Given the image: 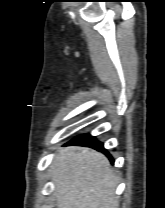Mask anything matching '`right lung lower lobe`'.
I'll use <instances>...</instances> for the list:
<instances>
[{"mask_svg":"<svg viewBox=\"0 0 165 208\" xmlns=\"http://www.w3.org/2000/svg\"><path fill=\"white\" fill-rule=\"evenodd\" d=\"M67 145H80V146H86V147H91L94 148L98 151H101L105 153L111 162L113 163L114 160L111 157V155L107 152V150L103 147V144L95 139V137L85 134L81 136H77L74 139H72Z\"/></svg>","mask_w":165,"mask_h":208,"instance_id":"1","label":"right lung lower lobe"}]
</instances>
